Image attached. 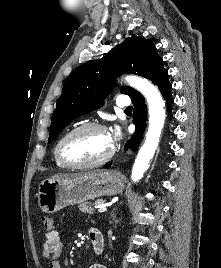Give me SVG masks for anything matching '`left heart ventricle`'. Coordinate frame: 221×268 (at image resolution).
I'll list each match as a JSON object with an SVG mask.
<instances>
[{
  "label": "left heart ventricle",
  "mask_w": 221,
  "mask_h": 268,
  "mask_svg": "<svg viewBox=\"0 0 221 268\" xmlns=\"http://www.w3.org/2000/svg\"><path fill=\"white\" fill-rule=\"evenodd\" d=\"M112 147L108 132L87 129L74 134L64 143L63 154L70 161L85 162L102 158Z\"/></svg>",
  "instance_id": "left-heart-ventricle-1"
}]
</instances>
